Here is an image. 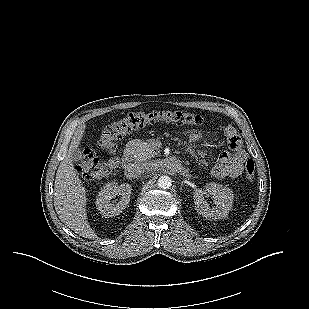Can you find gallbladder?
<instances>
[{
  "label": "gallbladder",
  "mask_w": 309,
  "mask_h": 309,
  "mask_svg": "<svg viewBox=\"0 0 309 309\" xmlns=\"http://www.w3.org/2000/svg\"><path fill=\"white\" fill-rule=\"evenodd\" d=\"M82 153L80 149L76 148L71 151V159L72 161H79L81 159Z\"/></svg>",
  "instance_id": "bac80fb5"
}]
</instances>
